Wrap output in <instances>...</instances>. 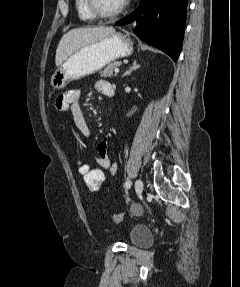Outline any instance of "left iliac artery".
<instances>
[{
	"mask_svg": "<svg viewBox=\"0 0 240 287\" xmlns=\"http://www.w3.org/2000/svg\"><path fill=\"white\" fill-rule=\"evenodd\" d=\"M130 186H131V182H130V180H127V181H126V188H127V189L130 188Z\"/></svg>",
	"mask_w": 240,
	"mask_h": 287,
	"instance_id": "1",
	"label": "left iliac artery"
}]
</instances>
